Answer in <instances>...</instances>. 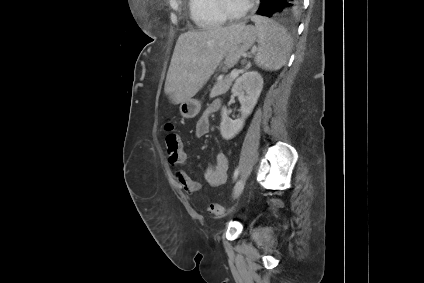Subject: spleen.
Returning a JSON list of instances; mask_svg holds the SVG:
<instances>
[{"label": "spleen", "instance_id": "spleen-1", "mask_svg": "<svg viewBox=\"0 0 424 283\" xmlns=\"http://www.w3.org/2000/svg\"><path fill=\"white\" fill-rule=\"evenodd\" d=\"M253 21L259 43L254 59L256 65L268 71L279 70L285 65L291 52L290 35L273 20L256 15Z\"/></svg>", "mask_w": 424, "mask_h": 283}]
</instances>
